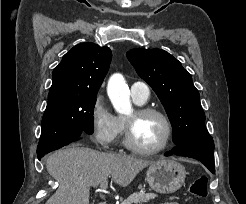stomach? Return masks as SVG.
Masks as SVG:
<instances>
[{
	"label": "stomach",
	"instance_id": "0dacf381",
	"mask_svg": "<svg viewBox=\"0 0 246 204\" xmlns=\"http://www.w3.org/2000/svg\"><path fill=\"white\" fill-rule=\"evenodd\" d=\"M185 178V167L179 162L169 159L152 163L146 172L149 187L163 194L179 190Z\"/></svg>",
	"mask_w": 246,
	"mask_h": 204
}]
</instances>
